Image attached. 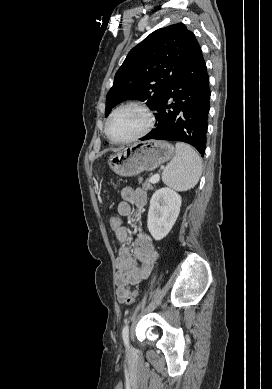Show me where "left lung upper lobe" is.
<instances>
[{
    "instance_id": "1",
    "label": "left lung upper lobe",
    "mask_w": 272,
    "mask_h": 389,
    "mask_svg": "<svg viewBox=\"0 0 272 389\" xmlns=\"http://www.w3.org/2000/svg\"><path fill=\"white\" fill-rule=\"evenodd\" d=\"M200 50L195 35L183 23L151 33L127 55L106 96L105 117L127 99L147 100L151 109L161 102L168 85Z\"/></svg>"
}]
</instances>
